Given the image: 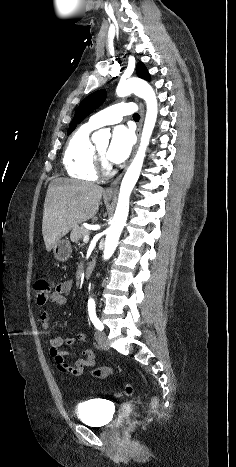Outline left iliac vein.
Segmentation results:
<instances>
[{"label": "left iliac vein", "instance_id": "left-iliac-vein-1", "mask_svg": "<svg viewBox=\"0 0 236 467\" xmlns=\"http://www.w3.org/2000/svg\"><path fill=\"white\" fill-rule=\"evenodd\" d=\"M96 341L99 347L103 350L109 349V342L104 331H97L95 334Z\"/></svg>", "mask_w": 236, "mask_h": 467}]
</instances>
